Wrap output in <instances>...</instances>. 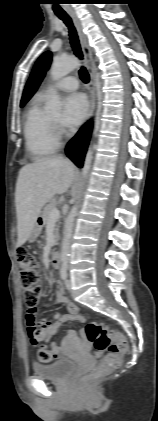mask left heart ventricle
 <instances>
[{
  "label": "left heart ventricle",
  "instance_id": "obj_1",
  "mask_svg": "<svg viewBox=\"0 0 158 421\" xmlns=\"http://www.w3.org/2000/svg\"><path fill=\"white\" fill-rule=\"evenodd\" d=\"M52 118L58 121L60 119V115L59 114L53 115Z\"/></svg>",
  "mask_w": 158,
  "mask_h": 421
}]
</instances>
